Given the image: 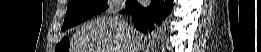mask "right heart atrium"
Wrapping results in <instances>:
<instances>
[{"label":"right heart atrium","mask_w":261,"mask_h":52,"mask_svg":"<svg viewBox=\"0 0 261 52\" xmlns=\"http://www.w3.org/2000/svg\"><path fill=\"white\" fill-rule=\"evenodd\" d=\"M123 7V2L121 0H110L107 2V11L110 13H115L121 10Z\"/></svg>","instance_id":"d8ad5b80"}]
</instances>
